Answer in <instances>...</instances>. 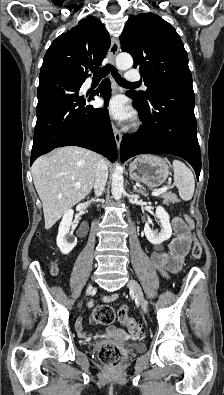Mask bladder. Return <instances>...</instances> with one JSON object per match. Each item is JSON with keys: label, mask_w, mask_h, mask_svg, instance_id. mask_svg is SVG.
<instances>
[{"label": "bladder", "mask_w": 224, "mask_h": 395, "mask_svg": "<svg viewBox=\"0 0 224 395\" xmlns=\"http://www.w3.org/2000/svg\"><path fill=\"white\" fill-rule=\"evenodd\" d=\"M133 349L135 351L141 352V351H143L145 349V345L142 344V343H134L133 344Z\"/></svg>", "instance_id": "bladder-1"}]
</instances>
